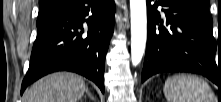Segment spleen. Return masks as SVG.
Instances as JSON below:
<instances>
[{"instance_id":"1","label":"spleen","mask_w":221,"mask_h":102,"mask_svg":"<svg viewBox=\"0 0 221 102\" xmlns=\"http://www.w3.org/2000/svg\"><path fill=\"white\" fill-rule=\"evenodd\" d=\"M164 95L169 102H212L214 94L198 76L176 74L165 81Z\"/></svg>"}]
</instances>
